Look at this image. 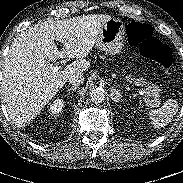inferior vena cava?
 I'll use <instances>...</instances> for the list:
<instances>
[{"label": "inferior vena cava", "mask_w": 183, "mask_h": 183, "mask_svg": "<svg viewBox=\"0 0 183 183\" xmlns=\"http://www.w3.org/2000/svg\"><path fill=\"white\" fill-rule=\"evenodd\" d=\"M68 81L72 85L78 86V85L82 84L84 81L83 74H81V73L72 74L68 77Z\"/></svg>", "instance_id": "inferior-vena-cava-1"}]
</instances>
